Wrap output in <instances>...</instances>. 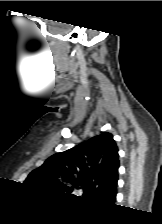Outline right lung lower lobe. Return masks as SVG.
<instances>
[{
  "label": "right lung lower lobe",
  "mask_w": 162,
  "mask_h": 224,
  "mask_svg": "<svg viewBox=\"0 0 162 224\" xmlns=\"http://www.w3.org/2000/svg\"><path fill=\"white\" fill-rule=\"evenodd\" d=\"M115 198H116V195L111 198L112 199L111 201L114 202L115 201Z\"/></svg>",
  "instance_id": "right-lung-lower-lobe-1"
}]
</instances>
